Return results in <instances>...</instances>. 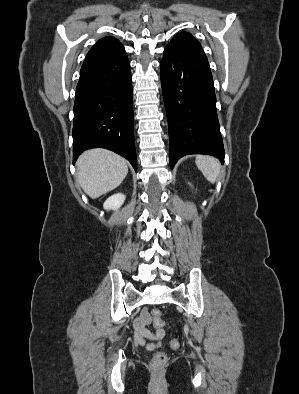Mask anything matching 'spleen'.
I'll return each mask as SVG.
<instances>
[{
  "label": "spleen",
  "mask_w": 299,
  "mask_h": 394,
  "mask_svg": "<svg viewBox=\"0 0 299 394\" xmlns=\"http://www.w3.org/2000/svg\"><path fill=\"white\" fill-rule=\"evenodd\" d=\"M195 163L204 177L211 183H215L221 171V165L209 155H197Z\"/></svg>",
  "instance_id": "obj_1"
}]
</instances>
